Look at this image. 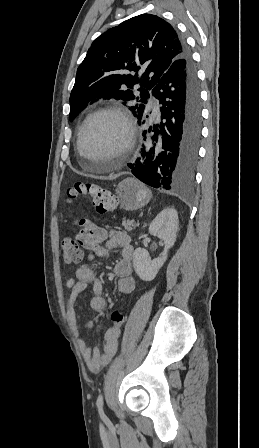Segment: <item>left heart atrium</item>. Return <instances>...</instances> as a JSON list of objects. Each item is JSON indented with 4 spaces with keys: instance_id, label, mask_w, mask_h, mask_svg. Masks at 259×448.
<instances>
[{
    "instance_id": "39dd6f15",
    "label": "left heart atrium",
    "mask_w": 259,
    "mask_h": 448,
    "mask_svg": "<svg viewBox=\"0 0 259 448\" xmlns=\"http://www.w3.org/2000/svg\"><path fill=\"white\" fill-rule=\"evenodd\" d=\"M153 156H154V151L153 150H147V152H146L147 160H151L153 158Z\"/></svg>"
}]
</instances>
